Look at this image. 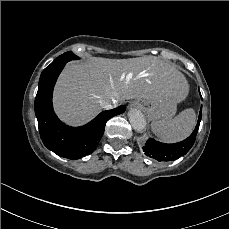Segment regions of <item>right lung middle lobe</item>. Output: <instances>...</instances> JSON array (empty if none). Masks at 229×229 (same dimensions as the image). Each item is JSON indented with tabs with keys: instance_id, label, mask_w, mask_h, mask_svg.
<instances>
[{
	"instance_id": "obj_1",
	"label": "right lung middle lobe",
	"mask_w": 229,
	"mask_h": 229,
	"mask_svg": "<svg viewBox=\"0 0 229 229\" xmlns=\"http://www.w3.org/2000/svg\"><path fill=\"white\" fill-rule=\"evenodd\" d=\"M73 59H78V57L76 55H74L71 51L69 52H66L62 55H60L59 57H57L50 65L49 67H52V66H55L59 63H62V62H69Z\"/></svg>"
}]
</instances>
